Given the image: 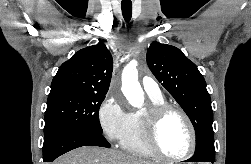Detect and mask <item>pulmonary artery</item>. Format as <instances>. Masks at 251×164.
<instances>
[{
    "mask_svg": "<svg viewBox=\"0 0 251 164\" xmlns=\"http://www.w3.org/2000/svg\"><path fill=\"white\" fill-rule=\"evenodd\" d=\"M142 86L145 92L150 97H160L162 96L161 90L155 80L149 76H145L142 79Z\"/></svg>",
    "mask_w": 251,
    "mask_h": 164,
    "instance_id": "pulmonary-artery-1",
    "label": "pulmonary artery"
}]
</instances>
